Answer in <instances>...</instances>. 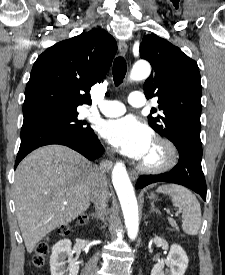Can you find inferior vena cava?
Instances as JSON below:
<instances>
[{"instance_id": "1", "label": "inferior vena cava", "mask_w": 225, "mask_h": 275, "mask_svg": "<svg viewBox=\"0 0 225 275\" xmlns=\"http://www.w3.org/2000/svg\"><path fill=\"white\" fill-rule=\"evenodd\" d=\"M111 167L110 161H105L97 168L95 178L91 188V200L95 205L98 217L102 218L106 212L108 202V185L106 179V171Z\"/></svg>"}]
</instances>
